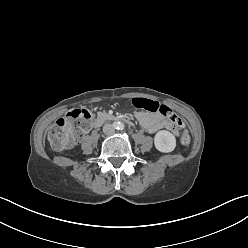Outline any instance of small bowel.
Masks as SVG:
<instances>
[{
  "label": "small bowel",
  "instance_id": "small-bowel-1",
  "mask_svg": "<svg viewBox=\"0 0 248 248\" xmlns=\"http://www.w3.org/2000/svg\"><path fill=\"white\" fill-rule=\"evenodd\" d=\"M137 120L140 122L142 127L149 133H156L161 129L171 131L177 135L179 132V125L174 123L168 118L163 117L160 113L154 112H143L138 111L135 113Z\"/></svg>",
  "mask_w": 248,
  "mask_h": 248
}]
</instances>
